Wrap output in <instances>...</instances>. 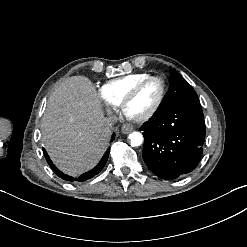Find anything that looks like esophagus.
<instances>
[{
    "label": "esophagus",
    "mask_w": 247,
    "mask_h": 247,
    "mask_svg": "<svg viewBox=\"0 0 247 247\" xmlns=\"http://www.w3.org/2000/svg\"><path fill=\"white\" fill-rule=\"evenodd\" d=\"M132 130H133V126H132V125L123 124V125L121 126V131H122V133H124V134L130 133Z\"/></svg>",
    "instance_id": "1"
}]
</instances>
